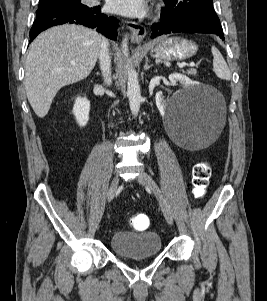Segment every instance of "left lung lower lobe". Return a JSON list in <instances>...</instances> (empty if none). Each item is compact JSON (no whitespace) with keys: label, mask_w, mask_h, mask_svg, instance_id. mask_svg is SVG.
Here are the masks:
<instances>
[{"label":"left lung lower lobe","mask_w":267,"mask_h":301,"mask_svg":"<svg viewBox=\"0 0 267 301\" xmlns=\"http://www.w3.org/2000/svg\"><path fill=\"white\" fill-rule=\"evenodd\" d=\"M151 29L153 31L151 38L170 33H205L215 34L224 40L222 28H216L198 20L185 19L171 21L166 17H162V22L152 25Z\"/></svg>","instance_id":"1"}]
</instances>
